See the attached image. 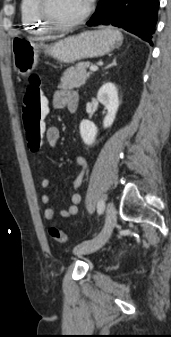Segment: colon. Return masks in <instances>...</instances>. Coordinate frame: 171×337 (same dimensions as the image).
I'll return each instance as SVG.
<instances>
[{"instance_id":"obj_1","label":"colon","mask_w":171,"mask_h":337,"mask_svg":"<svg viewBox=\"0 0 171 337\" xmlns=\"http://www.w3.org/2000/svg\"><path fill=\"white\" fill-rule=\"evenodd\" d=\"M49 95L43 94L41 79L38 74L29 77L23 96V125L27 146L31 151L38 150L42 145L45 118L49 116ZM50 236L59 243L67 242V235L56 227L49 229Z\"/></svg>"}]
</instances>
